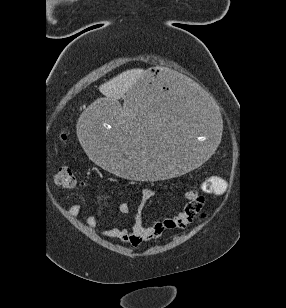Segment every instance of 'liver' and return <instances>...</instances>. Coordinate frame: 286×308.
I'll return each mask as SVG.
<instances>
[{
    "label": "liver",
    "mask_w": 286,
    "mask_h": 308,
    "mask_svg": "<svg viewBox=\"0 0 286 308\" xmlns=\"http://www.w3.org/2000/svg\"><path fill=\"white\" fill-rule=\"evenodd\" d=\"M143 73L144 71L142 69H132L125 71L101 85L99 90L103 95L106 96L108 101L117 103L118 99L126 98L128 91L132 88V86L142 76ZM127 116V111L121 112L119 116L120 124H126Z\"/></svg>",
    "instance_id": "obj_1"
}]
</instances>
